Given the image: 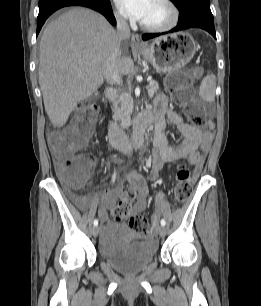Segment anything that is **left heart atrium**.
<instances>
[{"instance_id":"left-heart-atrium-1","label":"left heart atrium","mask_w":261,"mask_h":306,"mask_svg":"<svg viewBox=\"0 0 261 306\" xmlns=\"http://www.w3.org/2000/svg\"><path fill=\"white\" fill-rule=\"evenodd\" d=\"M151 0H116L121 14L133 21H142L148 11Z\"/></svg>"}]
</instances>
